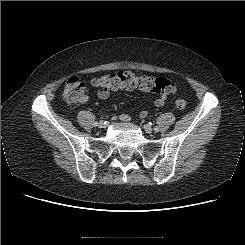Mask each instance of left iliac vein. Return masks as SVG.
Masks as SVG:
<instances>
[{
  "mask_svg": "<svg viewBox=\"0 0 245 245\" xmlns=\"http://www.w3.org/2000/svg\"><path fill=\"white\" fill-rule=\"evenodd\" d=\"M144 130L147 132V133H152L153 132V129L150 125H144L143 126Z\"/></svg>",
  "mask_w": 245,
  "mask_h": 245,
  "instance_id": "4c4485c4",
  "label": "left iliac vein"
}]
</instances>
